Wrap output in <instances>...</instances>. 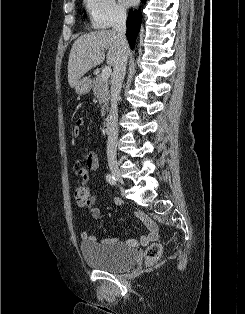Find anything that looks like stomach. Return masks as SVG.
Here are the masks:
<instances>
[{"mask_svg":"<svg viewBox=\"0 0 245 314\" xmlns=\"http://www.w3.org/2000/svg\"><path fill=\"white\" fill-rule=\"evenodd\" d=\"M92 87L91 79L88 77L80 78L76 85H75V91L79 95H85L90 92Z\"/></svg>","mask_w":245,"mask_h":314,"instance_id":"obj_1","label":"stomach"}]
</instances>
